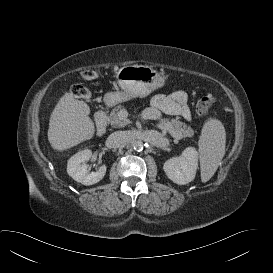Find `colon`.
<instances>
[{
    "label": "colon",
    "mask_w": 273,
    "mask_h": 273,
    "mask_svg": "<svg viewBox=\"0 0 273 273\" xmlns=\"http://www.w3.org/2000/svg\"><path fill=\"white\" fill-rule=\"evenodd\" d=\"M99 75V72L95 68H88L82 72V77L84 79H95ZM71 93L82 99H88L91 95L90 90L82 84H74L71 87ZM216 99L213 96H206L200 99L196 106V111L199 116L205 117L208 114L210 107L215 103Z\"/></svg>",
    "instance_id": "1"
}]
</instances>
